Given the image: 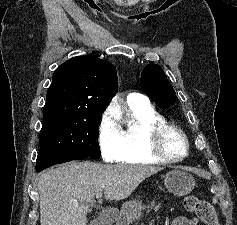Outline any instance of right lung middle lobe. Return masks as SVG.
<instances>
[{
	"label": "right lung middle lobe",
	"instance_id": "dd1d6c3e",
	"mask_svg": "<svg viewBox=\"0 0 237 225\" xmlns=\"http://www.w3.org/2000/svg\"><path fill=\"white\" fill-rule=\"evenodd\" d=\"M101 116H57L43 120L40 150L67 151L99 158L98 129Z\"/></svg>",
	"mask_w": 237,
	"mask_h": 225
}]
</instances>
